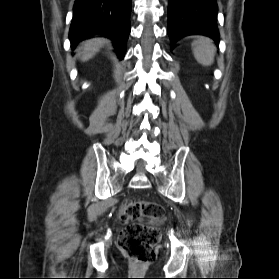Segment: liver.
<instances>
[{"instance_id":"6515ba94","label":"liver","mask_w":279,"mask_h":279,"mask_svg":"<svg viewBox=\"0 0 279 279\" xmlns=\"http://www.w3.org/2000/svg\"><path fill=\"white\" fill-rule=\"evenodd\" d=\"M104 40L101 38H94L83 42L81 51V60L88 61L91 59L104 44Z\"/></svg>"}]
</instances>
